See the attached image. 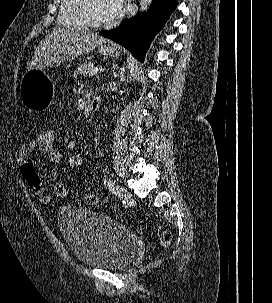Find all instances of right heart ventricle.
I'll return each mask as SVG.
<instances>
[{
    "label": "right heart ventricle",
    "instance_id": "e07e8e85",
    "mask_svg": "<svg viewBox=\"0 0 272 303\" xmlns=\"http://www.w3.org/2000/svg\"><path fill=\"white\" fill-rule=\"evenodd\" d=\"M78 5L79 0H61L58 14V24L61 27L73 29L86 27L79 15Z\"/></svg>",
    "mask_w": 272,
    "mask_h": 303
}]
</instances>
